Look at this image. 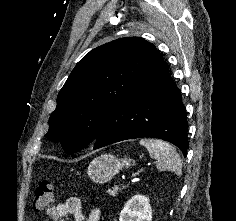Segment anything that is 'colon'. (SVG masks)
Listing matches in <instances>:
<instances>
[{"instance_id": "5ec220e1", "label": "colon", "mask_w": 236, "mask_h": 221, "mask_svg": "<svg viewBox=\"0 0 236 221\" xmlns=\"http://www.w3.org/2000/svg\"><path fill=\"white\" fill-rule=\"evenodd\" d=\"M58 185L51 181H43L36 187L33 202L36 211L43 212L51 207L54 200V191Z\"/></svg>"}]
</instances>
